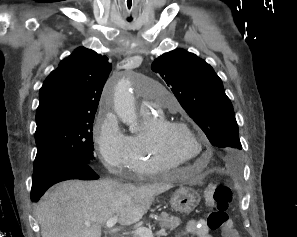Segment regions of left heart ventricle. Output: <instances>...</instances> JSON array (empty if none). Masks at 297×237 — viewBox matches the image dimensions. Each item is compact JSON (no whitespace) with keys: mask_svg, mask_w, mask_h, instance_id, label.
<instances>
[{"mask_svg":"<svg viewBox=\"0 0 297 237\" xmlns=\"http://www.w3.org/2000/svg\"><path fill=\"white\" fill-rule=\"evenodd\" d=\"M166 146L181 157H195L199 153L196 139L184 129L170 130L165 134Z\"/></svg>","mask_w":297,"mask_h":237,"instance_id":"obj_1","label":"left heart ventricle"}]
</instances>
